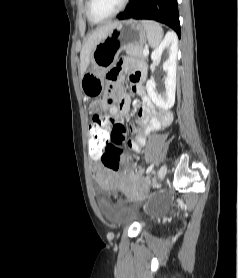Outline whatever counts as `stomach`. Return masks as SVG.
I'll use <instances>...</instances> for the list:
<instances>
[{"label":"stomach","instance_id":"1","mask_svg":"<svg viewBox=\"0 0 238 278\" xmlns=\"http://www.w3.org/2000/svg\"><path fill=\"white\" fill-rule=\"evenodd\" d=\"M147 39L148 32L142 22L132 19L118 22L93 49L92 67L81 77L84 95L98 98L105 91V72L116 63L119 53L130 45L143 46Z\"/></svg>","mask_w":238,"mask_h":278}]
</instances>
